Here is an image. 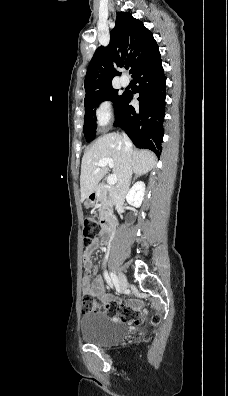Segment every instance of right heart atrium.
Masks as SVG:
<instances>
[{
	"label": "right heart atrium",
	"instance_id": "obj_1",
	"mask_svg": "<svg viewBox=\"0 0 228 396\" xmlns=\"http://www.w3.org/2000/svg\"><path fill=\"white\" fill-rule=\"evenodd\" d=\"M96 123L100 127H105L110 124L114 118L112 104L109 100L101 101L95 109Z\"/></svg>",
	"mask_w": 228,
	"mask_h": 396
}]
</instances>
